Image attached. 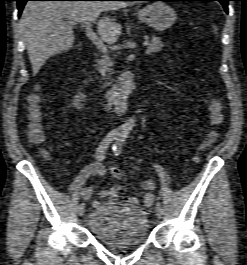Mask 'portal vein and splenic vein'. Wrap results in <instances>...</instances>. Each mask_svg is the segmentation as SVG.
<instances>
[{
  "label": "portal vein and splenic vein",
  "mask_w": 247,
  "mask_h": 265,
  "mask_svg": "<svg viewBox=\"0 0 247 265\" xmlns=\"http://www.w3.org/2000/svg\"><path fill=\"white\" fill-rule=\"evenodd\" d=\"M72 25L79 23V21H71ZM83 26L85 27L86 36L96 45V47L103 53L107 52L106 46L103 44L102 40L93 32L92 25L89 21L83 22ZM149 45L148 41L143 43V46L146 47Z\"/></svg>",
  "instance_id": "1"
}]
</instances>
